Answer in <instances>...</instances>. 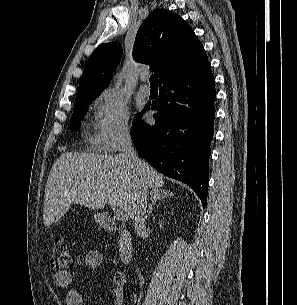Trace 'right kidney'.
Masks as SVG:
<instances>
[{
  "label": "right kidney",
  "mask_w": 297,
  "mask_h": 305,
  "mask_svg": "<svg viewBox=\"0 0 297 305\" xmlns=\"http://www.w3.org/2000/svg\"><path fill=\"white\" fill-rule=\"evenodd\" d=\"M159 226H160L161 229L163 228V221L159 222Z\"/></svg>",
  "instance_id": "1"
}]
</instances>
